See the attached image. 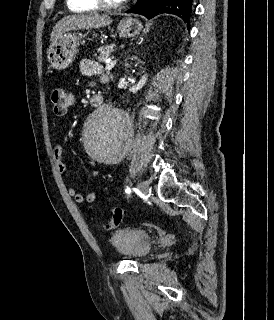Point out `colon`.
Masks as SVG:
<instances>
[{
  "mask_svg": "<svg viewBox=\"0 0 274 320\" xmlns=\"http://www.w3.org/2000/svg\"><path fill=\"white\" fill-rule=\"evenodd\" d=\"M50 100L56 115H64L67 113L68 108L72 105L73 98L69 91L64 87L57 86L52 88L50 93ZM124 217V211L118 207L112 209L111 220L105 225L106 230L116 228Z\"/></svg>",
  "mask_w": 274,
  "mask_h": 320,
  "instance_id": "colon-1",
  "label": "colon"
}]
</instances>
